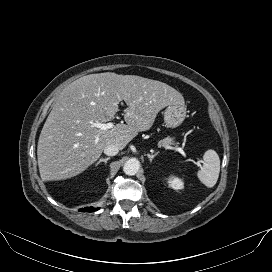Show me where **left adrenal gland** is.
Returning <instances> with one entry per match:
<instances>
[{
    "instance_id": "left-adrenal-gland-1",
    "label": "left adrenal gland",
    "mask_w": 272,
    "mask_h": 272,
    "mask_svg": "<svg viewBox=\"0 0 272 272\" xmlns=\"http://www.w3.org/2000/svg\"><path fill=\"white\" fill-rule=\"evenodd\" d=\"M158 155V152L154 153V154H146V156L149 158L150 162H152V160L154 159L155 156Z\"/></svg>"
}]
</instances>
